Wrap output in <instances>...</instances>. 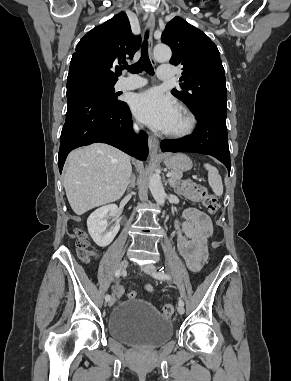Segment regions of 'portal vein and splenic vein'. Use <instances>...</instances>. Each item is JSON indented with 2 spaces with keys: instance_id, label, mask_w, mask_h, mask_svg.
<instances>
[{
  "instance_id": "18ae733b",
  "label": "portal vein and splenic vein",
  "mask_w": 291,
  "mask_h": 381,
  "mask_svg": "<svg viewBox=\"0 0 291 381\" xmlns=\"http://www.w3.org/2000/svg\"><path fill=\"white\" fill-rule=\"evenodd\" d=\"M168 178H170L172 176V173H167L166 175Z\"/></svg>"
}]
</instances>
